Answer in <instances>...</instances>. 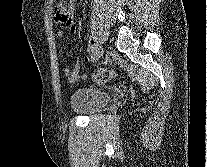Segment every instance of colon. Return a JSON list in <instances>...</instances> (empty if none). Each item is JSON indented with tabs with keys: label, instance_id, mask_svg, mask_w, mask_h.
<instances>
[{
	"label": "colon",
	"instance_id": "obj_1",
	"mask_svg": "<svg viewBox=\"0 0 207 167\" xmlns=\"http://www.w3.org/2000/svg\"><path fill=\"white\" fill-rule=\"evenodd\" d=\"M114 75V72L107 68H100L93 74V79L98 84H105L109 82Z\"/></svg>",
	"mask_w": 207,
	"mask_h": 167
}]
</instances>
